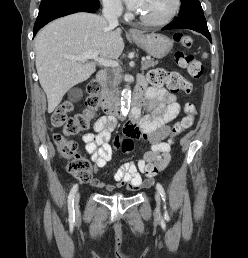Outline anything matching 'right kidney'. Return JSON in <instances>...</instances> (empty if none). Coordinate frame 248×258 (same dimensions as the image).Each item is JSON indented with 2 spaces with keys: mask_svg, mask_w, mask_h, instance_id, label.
I'll list each match as a JSON object with an SVG mask.
<instances>
[{
  "mask_svg": "<svg viewBox=\"0 0 248 258\" xmlns=\"http://www.w3.org/2000/svg\"><path fill=\"white\" fill-rule=\"evenodd\" d=\"M69 97L72 100L80 99L82 97V92L78 89H75L69 94Z\"/></svg>",
  "mask_w": 248,
  "mask_h": 258,
  "instance_id": "right-kidney-1",
  "label": "right kidney"
}]
</instances>
